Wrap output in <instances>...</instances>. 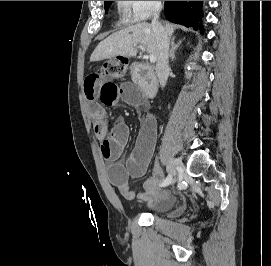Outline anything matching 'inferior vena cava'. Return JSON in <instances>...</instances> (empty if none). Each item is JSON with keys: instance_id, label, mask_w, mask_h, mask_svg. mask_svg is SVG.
<instances>
[{"instance_id": "1", "label": "inferior vena cava", "mask_w": 271, "mask_h": 266, "mask_svg": "<svg viewBox=\"0 0 271 266\" xmlns=\"http://www.w3.org/2000/svg\"><path fill=\"white\" fill-rule=\"evenodd\" d=\"M161 9H162L161 5H158L155 8L151 26L155 32L157 47H158L156 74L158 76L160 85L164 87L166 85L167 76L169 73V65H168L169 37L165 28L158 22Z\"/></svg>"}]
</instances>
